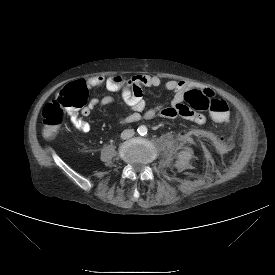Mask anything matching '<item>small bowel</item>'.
<instances>
[{"label": "small bowel", "instance_id": "c3829d8e", "mask_svg": "<svg viewBox=\"0 0 275 275\" xmlns=\"http://www.w3.org/2000/svg\"><path fill=\"white\" fill-rule=\"evenodd\" d=\"M92 88L103 87L110 93H119L122 102L127 105L132 112L119 119L120 124H128L137 122L144 118L151 120L156 117L171 119L177 116H183L189 120L203 124L206 118L199 113H193L190 107L183 101V92L187 88L198 87L195 84L182 80H168L164 87L166 90L174 93L170 105L159 104L151 108H147L143 97L144 89L148 87H158L162 84V79L156 75L137 74L131 77L119 75L114 76H94L87 81ZM199 88V87H198ZM204 92H211L209 89H203ZM118 100L111 94L101 97L92 98L89 104L82 110L83 116H88L90 112L101 106L116 104ZM72 123L76 129L83 133H88L91 130V125L88 121L79 116H73ZM213 149L220 154L226 153L231 146L229 137L222 132L216 133L211 140Z\"/></svg>", "mask_w": 275, "mask_h": 275}]
</instances>
